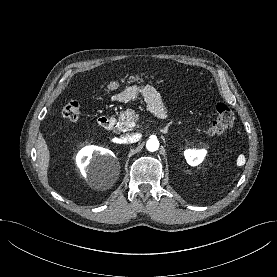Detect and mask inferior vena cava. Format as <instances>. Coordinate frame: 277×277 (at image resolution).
<instances>
[{"label": "inferior vena cava", "instance_id": "obj_1", "mask_svg": "<svg viewBox=\"0 0 277 277\" xmlns=\"http://www.w3.org/2000/svg\"><path fill=\"white\" fill-rule=\"evenodd\" d=\"M139 140V137L137 134H127L125 136L122 137V141L123 143H135Z\"/></svg>", "mask_w": 277, "mask_h": 277}]
</instances>
